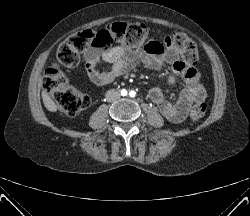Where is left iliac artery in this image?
<instances>
[{
	"label": "left iliac artery",
	"instance_id": "44dca946",
	"mask_svg": "<svg viewBox=\"0 0 250 216\" xmlns=\"http://www.w3.org/2000/svg\"><path fill=\"white\" fill-rule=\"evenodd\" d=\"M129 95H130V97H135L136 93H135V91H130Z\"/></svg>",
	"mask_w": 250,
	"mask_h": 216
}]
</instances>
